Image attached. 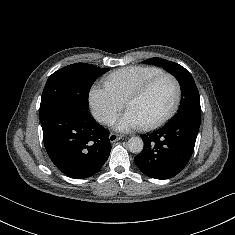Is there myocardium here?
I'll list each match as a JSON object with an SVG mask.
<instances>
[{
	"instance_id": "1",
	"label": "myocardium",
	"mask_w": 235,
	"mask_h": 235,
	"mask_svg": "<svg viewBox=\"0 0 235 235\" xmlns=\"http://www.w3.org/2000/svg\"><path fill=\"white\" fill-rule=\"evenodd\" d=\"M170 79L174 86H175V99L174 102L171 106V108L168 110L166 114H164L161 118L157 119L154 122H151L149 124L142 125V128L144 130H153L156 128H159L160 126L164 125L166 122H168L177 112L178 107L180 105L181 101V95H182V90H181V85L178 79L173 76L170 73H161L158 74L152 78H150L148 81H146L141 87H139L136 91H134L125 101V106L128 108L130 103L133 101L142 98L144 95L147 94V92L161 79Z\"/></svg>"
}]
</instances>
